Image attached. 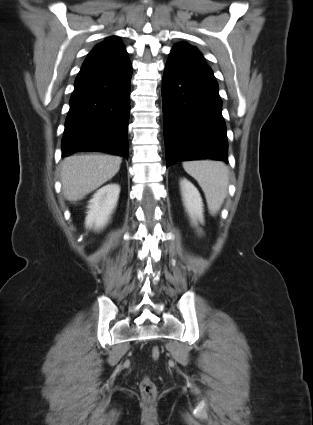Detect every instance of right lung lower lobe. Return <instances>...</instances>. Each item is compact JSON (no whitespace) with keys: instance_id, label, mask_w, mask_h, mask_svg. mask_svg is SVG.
<instances>
[{"instance_id":"98d812e1","label":"right lung lower lobe","mask_w":313,"mask_h":425,"mask_svg":"<svg viewBox=\"0 0 313 425\" xmlns=\"http://www.w3.org/2000/svg\"><path fill=\"white\" fill-rule=\"evenodd\" d=\"M129 59H86L75 80L62 139V157L106 152L128 157Z\"/></svg>"}]
</instances>
